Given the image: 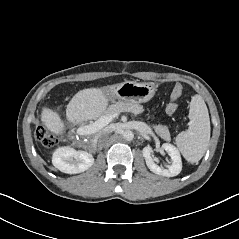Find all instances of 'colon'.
<instances>
[{"label": "colon", "mask_w": 239, "mask_h": 239, "mask_svg": "<svg viewBox=\"0 0 239 239\" xmlns=\"http://www.w3.org/2000/svg\"><path fill=\"white\" fill-rule=\"evenodd\" d=\"M35 138L43 145L50 147L57 143V135L50 132L46 127L40 125L35 130Z\"/></svg>", "instance_id": "1"}]
</instances>
